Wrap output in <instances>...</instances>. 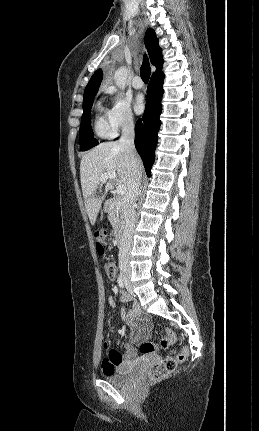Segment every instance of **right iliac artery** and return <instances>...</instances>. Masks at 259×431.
<instances>
[{
	"mask_svg": "<svg viewBox=\"0 0 259 431\" xmlns=\"http://www.w3.org/2000/svg\"><path fill=\"white\" fill-rule=\"evenodd\" d=\"M117 282H118L119 287L124 288V281H123V278L121 275L118 277Z\"/></svg>",
	"mask_w": 259,
	"mask_h": 431,
	"instance_id": "1",
	"label": "right iliac artery"
}]
</instances>
